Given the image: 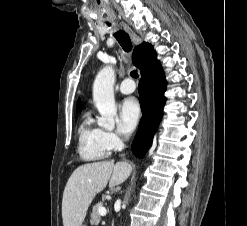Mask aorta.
<instances>
[{
    "instance_id": "obj_1",
    "label": "aorta",
    "mask_w": 247,
    "mask_h": 226,
    "mask_svg": "<svg viewBox=\"0 0 247 226\" xmlns=\"http://www.w3.org/2000/svg\"><path fill=\"white\" fill-rule=\"evenodd\" d=\"M115 72L111 66H106L97 74L93 83V100L101 115L98 124L104 128L114 127L117 117L113 86Z\"/></svg>"
}]
</instances>
